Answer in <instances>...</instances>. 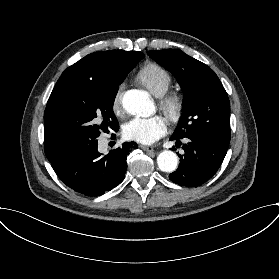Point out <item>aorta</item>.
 Instances as JSON below:
<instances>
[{"label": "aorta", "instance_id": "obj_1", "mask_svg": "<svg viewBox=\"0 0 279 279\" xmlns=\"http://www.w3.org/2000/svg\"><path fill=\"white\" fill-rule=\"evenodd\" d=\"M123 108L132 115L150 116L154 112V104L147 92L129 90L123 97ZM157 164L163 172H173L177 168V155L171 150L162 151L157 157Z\"/></svg>", "mask_w": 279, "mask_h": 279}]
</instances>
